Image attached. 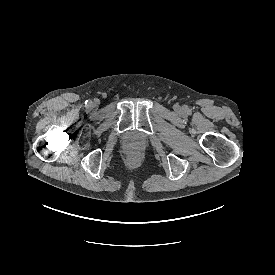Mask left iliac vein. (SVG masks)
Segmentation results:
<instances>
[{"mask_svg": "<svg viewBox=\"0 0 275 275\" xmlns=\"http://www.w3.org/2000/svg\"><path fill=\"white\" fill-rule=\"evenodd\" d=\"M176 110L180 111V110H181V107H180V106H177Z\"/></svg>", "mask_w": 275, "mask_h": 275, "instance_id": "1", "label": "left iliac vein"}]
</instances>
